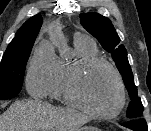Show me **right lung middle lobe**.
Wrapping results in <instances>:
<instances>
[{
  "label": "right lung middle lobe",
  "instance_id": "obj_1",
  "mask_svg": "<svg viewBox=\"0 0 151 131\" xmlns=\"http://www.w3.org/2000/svg\"><path fill=\"white\" fill-rule=\"evenodd\" d=\"M33 44L6 49L0 63V100L14 98L21 91L25 67Z\"/></svg>",
  "mask_w": 151,
  "mask_h": 131
}]
</instances>
